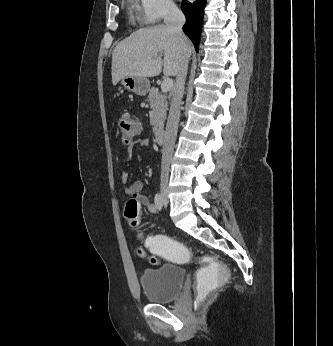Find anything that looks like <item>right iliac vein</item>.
<instances>
[{
	"label": "right iliac vein",
	"mask_w": 333,
	"mask_h": 346,
	"mask_svg": "<svg viewBox=\"0 0 333 346\" xmlns=\"http://www.w3.org/2000/svg\"><path fill=\"white\" fill-rule=\"evenodd\" d=\"M160 192L163 198V203L165 205L168 204V184H167V178H163L160 185Z\"/></svg>",
	"instance_id": "1"
}]
</instances>
